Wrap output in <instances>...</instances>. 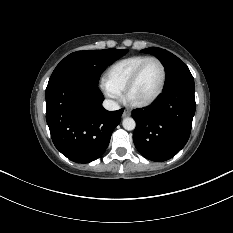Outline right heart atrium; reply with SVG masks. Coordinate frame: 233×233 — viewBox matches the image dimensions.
<instances>
[{"instance_id": "obj_1", "label": "right heart atrium", "mask_w": 233, "mask_h": 233, "mask_svg": "<svg viewBox=\"0 0 233 233\" xmlns=\"http://www.w3.org/2000/svg\"><path fill=\"white\" fill-rule=\"evenodd\" d=\"M101 89L105 96L114 102H118L122 98V94L116 89L112 88L110 85H108L105 81L101 83Z\"/></svg>"}]
</instances>
